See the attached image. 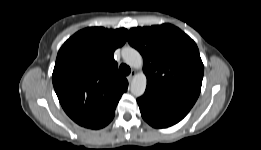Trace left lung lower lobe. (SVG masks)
Masks as SVG:
<instances>
[{"label": "left lung lower lobe", "mask_w": 261, "mask_h": 150, "mask_svg": "<svg viewBox=\"0 0 261 150\" xmlns=\"http://www.w3.org/2000/svg\"><path fill=\"white\" fill-rule=\"evenodd\" d=\"M143 119L155 128L172 126L182 120L192 107L167 98L144 94L137 99Z\"/></svg>", "instance_id": "1"}]
</instances>
